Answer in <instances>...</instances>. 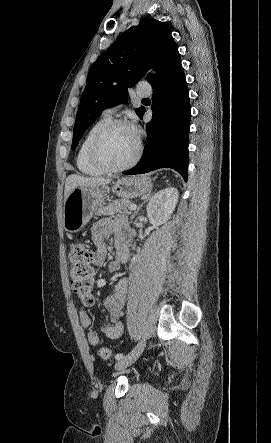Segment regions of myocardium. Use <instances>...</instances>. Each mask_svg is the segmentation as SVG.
I'll list each match as a JSON object with an SVG mask.
<instances>
[{
    "instance_id": "obj_1",
    "label": "myocardium",
    "mask_w": 271,
    "mask_h": 443,
    "mask_svg": "<svg viewBox=\"0 0 271 443\" xmlns=\"http://www.w3.org/2000/svg\"><path fill=\"white\" fill-rule=\"evenodd\" d=\"M124 126L131 129L136 138V150L133 156L120 166H113L104 158L102 154L103 143L108 134L116 127ZM143 151L142 139L136 126L125 119H111L97 133L90 146V157L93 163L104 172L119 173L131 168L140 159Z\"/></svg>"
}]
</instances>
